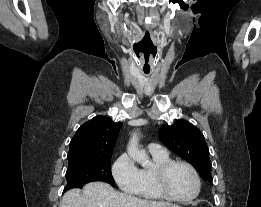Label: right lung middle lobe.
I'll return each mask as SVG.
<instances>
[{"label": "right lung middle lobe", "mask_w": 261, "mask_h": 207, "mask_svg": "<svg viewBox=\"0 0 261 207\" xmlns=\"http://www.w3.org/2000/svg\"><path fill=\"white\" fill-rule=\"evenodd\" d=\"M110 162L111 157L69 163L64 192L72 188H82L93 181H104L115 186Z\"/></svg>", "instance_id": "1"}]
</instances>
